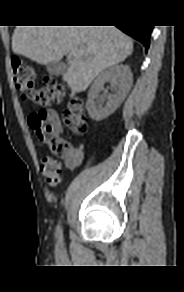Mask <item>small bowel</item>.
Instances as JSON below:
<instances>
[{
  "instance_id": "small-bowel-1",
  "label": "small bowel",
  "mask_w": 184,
  "mask_h": 292,
  "mask_svg": "<svg viewBox=\"0 0 184 292\" xmlns=\"http://www.w3.org/2000/svg\"><path fill=\"white\" fill-rule=\"evenodd\" d=\"M83 158V148L82 146H78L72 149L70 156L65 160V166L72 170L76 168Z\"/></svg>"
}]
</instances>
